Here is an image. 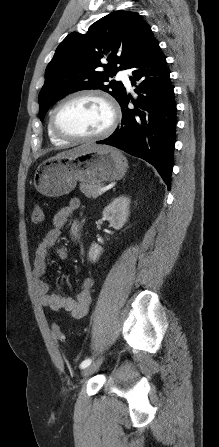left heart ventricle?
<instances>
[{"label":"left heart ventricle","instance_id":"b2bd125f","mask_svg":"<svg viewBox=\"0 0 219 447\" xmlns=\"http://www.w3.org/2000/svg\"><path fill=\"white\" fill-rule=\"evenodd\" d=\"M110 121V110L101 99L79 97L63 105L57 114V125L75 136L94 135L104 130Z\"/></svg>","mask_w":219,"mask_h":447}]
</instances>
